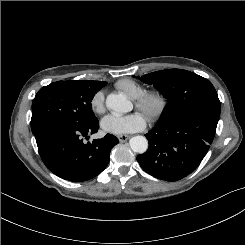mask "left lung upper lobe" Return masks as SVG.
<instances>
[{
	"instance_id": "left-lung-upper-lobe-1",
	"label": "left lung upper lobe",
	"mask_w": 245,
	"mask_h": 245,
	"mask_svg": "<svg viewBox=\"0 0 245 245\" xmlns=\"http://www.w3.org/2000/svg\"><path fill=\"white\" fill-rule=\"evenodd\" d=\"M140 80L153 84L168 101L156 125H166L199 111L220 115L221 104L212 83L193 72L162 70L141 76Z\"/></svg>"
}]
</instances>
